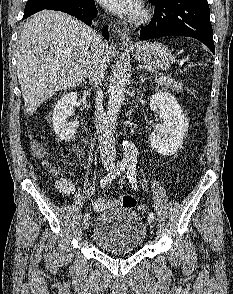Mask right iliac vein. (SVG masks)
<instances>
[{
  "mask_svg": "<svg viewBox=\"0 0 233 294\" xmlns=\"http://www.w3.org/2000/svg\"><path fill=\"white\" fill-rule=\"evenodd\" d=\"M105 170L106 171H109V170H111V167L110 166H106L105 167ZM89 225H90L89 219H84V221H83V228L84 229H88Z\"/></svg>",
  "mask_w": 233,
  "mask_h": 294,
  "instance_id": "right-iliac-vein-1",
  "label": "right iliac vein"
}]
</instances>
